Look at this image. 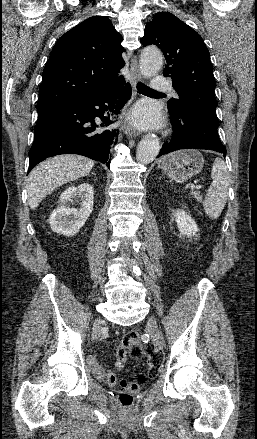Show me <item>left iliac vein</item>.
Wrapping results in <instances>:
<instances>
[{
    "label": "left iliac vein",
    "instance_id": "1",
    "mask_svg": "<svg viewBox=\"0 0 257 439\" xmlns=\"http://www.w3.org/2000/svg\"><path fill=\"white\" fill-rule=\"evenodd\" d=\"M148 331H149L153 341L155 342V344L159 348H163V346H164L163 338H162V335L159 331L157 322H156L154 317H151L149 319Z\"/></svg>",
    "mask_w": 257,
    "mask_h": 439
}]
</instances>
